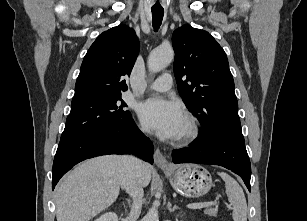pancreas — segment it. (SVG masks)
Here are the masks:
<instances>
[{
    "label": "pancreas",
    "instance_id": "1",
    "mask_svg": "<svg viewBox=\"0 0 307 221\" xmlns=\"http://www.w3.org/2000/svg\"><path fill=\"white\" fill-rule=\"evenodd\" d=\"M217 208H207L204 210V213L209 215V216H213V217H216L217 216Z\"/></svg>",
    "mask_w": 307,
    "mask_h": 221
}]
</instances>
